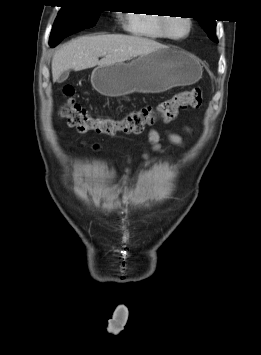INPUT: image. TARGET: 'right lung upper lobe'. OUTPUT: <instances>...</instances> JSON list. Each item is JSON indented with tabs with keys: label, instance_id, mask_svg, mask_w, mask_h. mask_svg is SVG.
<instances>
[{
	"label": "right lung upper lobe",
	"instance_id": "obj_1",
	"mask_svg": "<svg viewBox=\"0 0 261 355\" xmlns=\"http://www.w3.org/2000/svg\"><path fill=\"white\" fill-rule=\"evenodd\" d=\"M66 2H78V0H65Z\"/></svg>",
	"mask_w": 261,
	"mask_h": 355
}]
</instances>
